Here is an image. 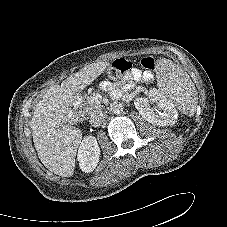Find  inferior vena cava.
Here are the masks:
<instances>
[{
    "label": "inferior vena cava",
    "mask_w": 227,
    "mask_h": 227,
    "mask_svg": "<svg viewBox=\"0 0 227 227\" xmlns=\"http://www.w3.org/2000/svg\"><path fill=\"white\" fill-rule=\"evenodd\" d=\"M106 115L102 110H95L89 117V123L94 127L101 126L105 121Z\"/></svg>",
    "instance_id": "1"
}]
</instances>
